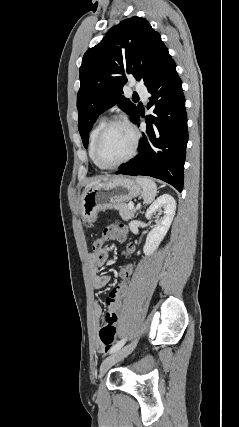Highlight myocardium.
I'll use <instances>...</instances> for the list:
<instances>
[{"instance_id":"f54148a6","label":"myocardium","mask_w":239,"mask_h":427,"mask_svg":"<svg viewBox=\"0 0 239 427\" xmlns=\"http://www.w3.org/2000/svg\"><path fill=\"white\" fill-rule=\"evenodd\" d=\"M118 125L126 127L132 133L133 145H132V148H131L129 154L125 158H123L121 161L114 163V164H106V163L102 162L99 158V155H98L99 147H100V144H101L102 139L104 138L105 134L112 127L118 126ZM139 141H140V134H139L138 130L135 128V126L128 119H126L124 117H115V118L109 120L108 122H106L104 124V126L101 128V130L99 131V133L96 137L94 147H93L94 161L102 169L111 170V169L118 168V167L126 164L127 162H129L130 160H132L135 157V155L137 154L138 147H139Z\"/></svg>"}]
</instances>
